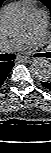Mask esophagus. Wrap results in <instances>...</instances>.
Returning <instances> with one entry per match:
<instances>
[{"instance_id": "esophagus-1", "label": "esophagus", "mask_w": 51, "mask_h": 153, "mask_svg": "<svg viewBox=\"0 0 51 153\" xmlns=\"http://www.w3.org/2000/svg\"><path fill=\"white\" fill-rule=\"evenodd\" d=\"M20 60L22 62H25V63H31V62H33L34 58H31V57H22Z\"/></svg>"}]
</instances>
